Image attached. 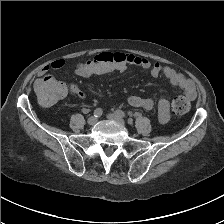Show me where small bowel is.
<instances>
[{
    "instance_id": "obj_1",
    "label": "small bowel",
    "mask_w": 224,
    "mask_h": 224,
    "mask_svg": "<svg viewBox=\"0 0 224 224\" xmlns=\"http://www.w3.org/2000/svg\"><path fill=\"white\" fill-rule=\"evenodd\" d=\"M112 55H114V57L119 60L122 71L126 70L128 66L133 65L143 70H150L153 77H158L161 73H163L173 86L183 91L188 99H195L196 89L194 83L190 79H187L185 76H183L181 73L177 72L172 67L163 66L158 62L152 64L148 59L130 53H114ZM64 64L65 61L63 59H56L52 61L39 72V80L45 77H50V70H60L64 66ZM76 73L80 76H92L86 69H82L80 67L77 69ZM68 87L72 94L80 98L85 97L84 93L75 84H68ZM128 103L133 108L146 110L152 109L155 105V102L152 98L141 97L138 95L129 96ZM157 107L159 121L161 123H166L170 118L169 97H161L158 101Z\"/></svg>"
}]
</instances>
